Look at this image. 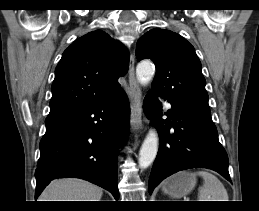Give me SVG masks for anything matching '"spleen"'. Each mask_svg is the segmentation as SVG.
Instances as JSON below:
<instances>
[{
	"mask_svg": "<svg viewBox=\"0 0 259 211\" xmlns=\"http://www.w3.org/2000/svg\"><path fill=\"white\" fill-rule=\"evenodd\" d=\"M192 175H199L204 180L203 186L199 188L198 201H229L224 185L215 175L205 170Z\"/></svg>",
	"mask_w": 259,
	"mask_h": 211,
	"instance_id": "spleen-1",
	"label": "spleen"
}]
</instances>
